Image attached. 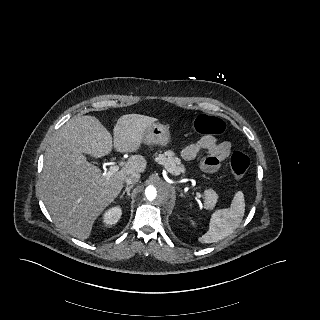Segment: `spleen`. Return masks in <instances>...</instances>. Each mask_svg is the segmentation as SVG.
I'll return each mask as SVG.
<instances>
[{
    "label": "spleen",
    "instance_id": "spleen-1",
    "mask_svg": "<svg viewBox=\"0 0 320 320\" xmlns=\"http://www.w3.org/2000/svg\"><path fill=\"white\" fill-rule=\"evenodd\" d=\"M245 213V200L238 191L230 208L216 210L212 215L208 231L198 238L201 243L218 242L231 235L241 224Z\"/></svg>",
    "mask_w": 320,
    "mask_h": 320
}]
</instances>
